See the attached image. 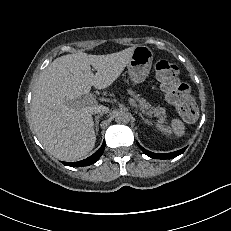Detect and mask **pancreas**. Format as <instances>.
I'll use <instances>...</instances> for the list:
<instances>
[{"label":"pancreas","instance_id":"obj_1","mask_svg":"<svg viewBox=\"0 0 231 231\" xmlns=\"http://www.w3.org/2000/svg\"><path fill=\"white\" fill-rule=\"evenodd\" d=\"M129 93L134 97L136 101L139 102V109L142 111H147L149 115H154L160 119H164L166 117V109L163 107H151V105L144 99L140 98L139 95L134 94L133 91H129Z\"/></svg>","mask_w":231,"mask_h":231}]
</instances>
